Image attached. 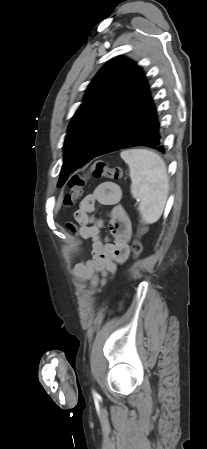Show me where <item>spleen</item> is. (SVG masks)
Segmentation results:
<instances>
[{
  "label": "spleen",
  "instance_id": "obj_1",
  "mask_svg": "<svg viewBox=\"0 0 207 449\" xmlns=\"http://www.w3.org/2000/svg\"><path fill=\"white\" fill-rule=\"evenodd\" d=\"M129 166L131 194L140 199L138 210L143 222L155 223L161 217L168 196L169 178L164 160L146 149L121 152Z\"/></svg>",
  "mask_w": 207,
  "mask_h": 449
}]
</instances>
